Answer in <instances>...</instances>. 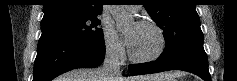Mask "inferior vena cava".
Here are the masks:
<instances>
[{"instance_id": "obj_1", "label": "inferior vena cava", "mask_w": 237, "mask_h": 81, "mask_svg": "<svg viewBox=\"0 0 237 81\" xmlns=\"http://www.w3.org/2000/svg\"><path fill=\"white\" fill-rule=\"evenodd\" d=\"M103 81H114L121 76L118 49L115 46H107L103 67L101 70Z\"/></svg>"}]
</instances>
